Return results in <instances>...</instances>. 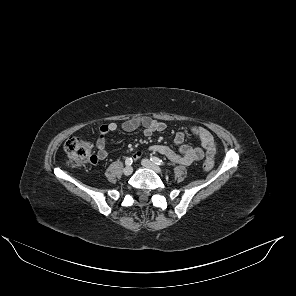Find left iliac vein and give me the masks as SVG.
Returning <instances> with one entry per match:
<instances>
[{"instance_id":"1","label":"left iliac vein","mask_w":296,"mask_h":296,"mask_svg":"<svg viewBox=\"0 0 296 296\" xmlns=\"http://www.w3.org/2000/svg\"><path fill=\"white\" fill-rule=\"evenodd\" d=\"M142 165L146 168L154 170L156 173H162V169L148 159H143Z\"/></svg>"}]
</instances>
